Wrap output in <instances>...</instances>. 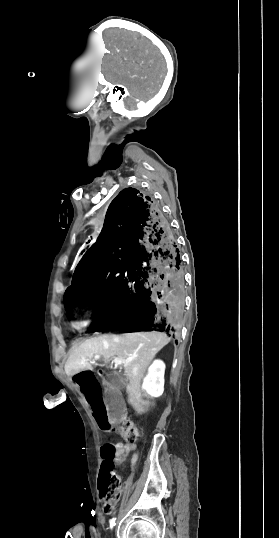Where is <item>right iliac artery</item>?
<instances>
[{
	"label": "right iliac artery",
	"mask_w": 279,
	"mask_h": 538,
	"mask_svg": "<svg viewBox=\"0 0 279 538\" xmlns=\"http://www.w3.org/2000/svg\"><path fill=\"white\" fill-rule=\"evenodd\" d=\"M114 525H115V518H112L110 520V528L112 529Z\"/></svg>",
	"instance_id": "82829eb1"
}]
</instances>
